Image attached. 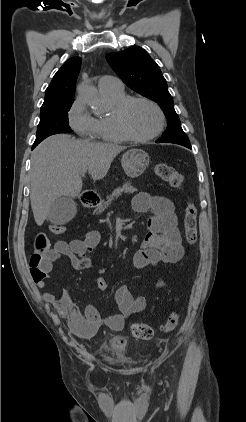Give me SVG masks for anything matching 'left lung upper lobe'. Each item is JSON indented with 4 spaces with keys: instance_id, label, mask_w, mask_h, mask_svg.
Here are the masks:
<instances>
[{
    "instance_id": "obj_1",
    "label": "left lung upper lobe",
    "mask_w": 246,
    "mask_h": 422,
    "mask_svg": "<svg viewBox=\"0 0 246 422\" xmlns=\"http://www.w3.org/2000/svg\"><path fill=\"white\" fill-rule=\"evenodd\" d=\"M106 59L129 88L155 101L165 113L168 126L157 142L190 145L187 135L181 128L166 80L149 54L141 47H131L121 52L109 53Z\"/></svg>"
}]
</instances>
